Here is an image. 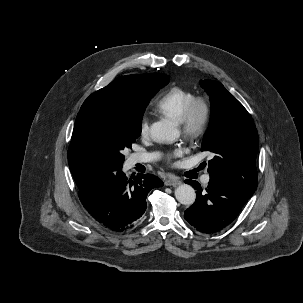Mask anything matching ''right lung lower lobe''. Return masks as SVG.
<instances>
[{"label":"right lung lower lobe","mask_w":303,"mask_h":303,"mask_svg":"<svg viewBox=\"0 0 303 303\" xmlns=\"http://www.w3.org/2000/svg\"><path fill=\"white\" fill-rule=\"evenodd\" d=\"M163 182L152 174L128 180L121 170L100 172L78 186L86 210L106 227L122 232L133 228L146 210L148 192Z\"/></svg>","instance_id":"obj_1"}]
</instances>
